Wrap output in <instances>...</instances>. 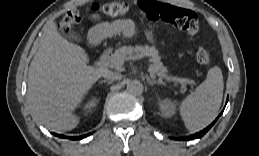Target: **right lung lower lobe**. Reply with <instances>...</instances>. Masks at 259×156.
I'll return each mask as SVG.
<instances>
[{
    "mask_svg": "<svg viewBox=\"0 0 259 156\" xmlns=\"http://www.w3.org/2000/svg\"><path fill=\"white\" fill-rule=\"evenodd\" d=\"M88 135H89V134L84 135V136L69 137V136H63V135L57 134L56 136H58V137H63V138H69V139H82V138H85V137L88 136Z\"/></svg>",
    "mask_w": 259,
    "mask_h": 156,
    "instance_id": "obj_1",
    "label": "right lung lower lobe"
}]
</instances>
